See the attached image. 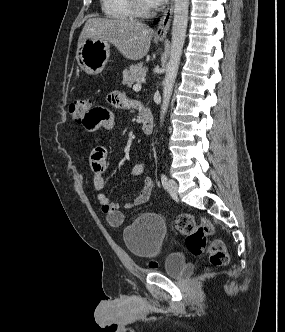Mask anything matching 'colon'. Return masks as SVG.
I'll use <instances>...</instances> for the list:
<instances>
[{
  "label": "colon",
  "instance_id": "obj_1",
  "mask_svg": "<svg viewBox=\"0 0 285 332\" xmlns=\"http://www.w3.org/2000/svg\"><path fill=\"white\" fill-rule=\"evenodd\" d=\"M91 103L88 100H76L70 105V114L74 121L79 122V115H84L85 111H90ZM86 127V126H85ZM177 230L185 236L187 249L194 255H200L207 251L210 264L214 267L225 265L229 261V255L224 242L215 239L207 242L208 236L213 231L212 223L205 217L198 220L190 214H181L176 221ZM151 267H156L157 263L151 261Z\"/></svg>",
  "mask_w": 285,
  "mask_h": 332
}]
</instances>
